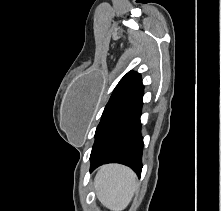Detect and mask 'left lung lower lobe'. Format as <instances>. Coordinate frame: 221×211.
<instances>
[{
    "mask_svg": "<svg viewBox=\"0 0 221 211\" xmlns=\"http://www.w3.org/2000/svg\"><path fill=\"white\" fill-rule=\"evenodd\" d=\"M142 92L107 125L91 151V168L106 163L129 166L140 177L142 170L143 138L140 134Z\"/></svg>",
    "mask_w": 221,
    "mask_h": 211,
    "instance_id": "left-lung-lower-lobe-1",
    "label": "left lung lower lobe"
}]
</instances>
